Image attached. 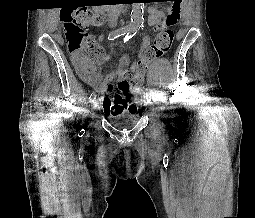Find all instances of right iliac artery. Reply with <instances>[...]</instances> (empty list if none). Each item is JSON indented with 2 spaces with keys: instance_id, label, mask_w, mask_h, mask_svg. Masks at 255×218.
<instances>
[{
  "instance_id": "1",
  "label": "right iliac artery",
  "mask_w": 255,
  "mask_h": 218,
  "mask_svg": "<svg viewBox=\"0 0 255 218\" xmlns=\"http://www.w3.org/2000/svg\"><path fill=\"white\" fill-rule=\"evenodd\" d=\"M129 32H131L130 29H126V28H122V29H118V30H115L114 32H111L108 36V40L109 41H112L120 36H123L125 34H128ZM96 97V94L93 92L91 93L90 97H89V100H94V98Z\"/></svg>"
}]
</instances>
